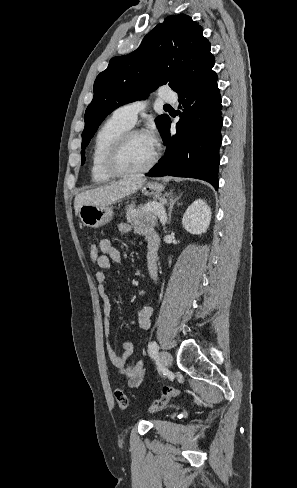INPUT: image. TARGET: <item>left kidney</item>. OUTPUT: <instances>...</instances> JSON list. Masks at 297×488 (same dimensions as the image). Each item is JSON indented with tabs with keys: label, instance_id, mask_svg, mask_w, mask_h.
Segmentation results:
<instances>
[{
	"label": "left kidney",
	"instance_id": "1",
	"mask_svg": "<svg viewBox=\"0 0 297 488\" xmlns=\"http://www.w3.org/2000/svg\"><path fill=\"white\" fill-rule=\"evenodd\" d=\"M210 221V207L204 200L198 199L187 208L182 224L189 233L201 235L209 228Z\"/></svg>",
	"mask_w": 297,
	"mask_h": 488
}]
</instances>
